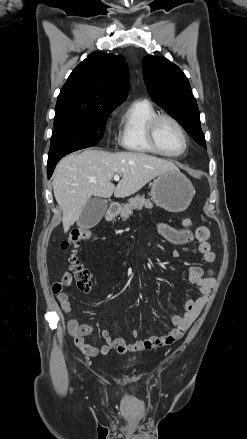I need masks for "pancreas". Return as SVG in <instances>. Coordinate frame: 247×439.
I'll list each match as a JSON object with an SVG mask.
<instances>
[{
  "instance_id": "cf45deb5",
  "label": "pancreas",
  "mask_w": 247,
  "mask_h": 439,
  "mask_svg": "<svg viewBox=\"0 0 247 439\" xmlns=\"http://www.w3.org/2000/svg\"><path fill=\"white\" fill-rule=\"evenodd\" d=\"M152 209L153 204L149 199H146L144 196L137 195L134 198H130L129 202L124 205L120 212V216L123 220H127L129 216L133 213V210L136 209Z\"/></svg>"
}]
</instances>
